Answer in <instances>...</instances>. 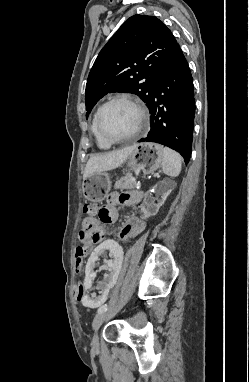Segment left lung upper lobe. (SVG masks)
Wrapping results in <instances>:
<instances>
[{"label":"left lung upper lobe","mask_w":249,"mask_h":382,"mask_svg":"<svg viewBox=\"0 0 249 382\" xmlns=\"http://www.w3.org/2000/svg\"><path fill=\"white\" fill-rule=\"evenodd\" d=\"M177 44L171 31L154 16L134 15L127 19L91 68L85 94L88 113L111 92L136 94L148 105Z\"/></svg>","instance_id":"obj_1"}]
</instances>
